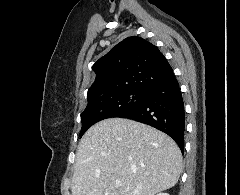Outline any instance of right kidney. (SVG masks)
<instances>
[{"mask_svg": "<svg viewBox=\"0 0 240 195\" xmlns=\"http://www.w3.org/2000/svg\"><path fill=\"white\" fill-rule=\"evenodd\" d=\"M157 195H169V193H157Z\"/></svg>", "mask_w": 240, "mask_h": 195, "instance_id": "ca27d5eb", "label": "right kidney"}]
</instances>
